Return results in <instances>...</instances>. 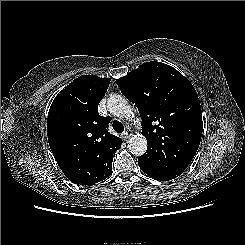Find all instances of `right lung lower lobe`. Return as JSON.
<instances>
[{"instance_id":"1","label":"right lung lower lobe","mask_w":245,"mask_h":245,"mask_svg":"<svg viewBox=\"0 0 245 245\" xmlns=\"http://www.w3.org/2000/svg\"><path fill=\"white\" fill-rule=\"evenodd\" d=\"M114 154V153H113ZM113 154L99 153L95 164L98 171L100 172L102 179L107 178L112 173V160ZM67 178H69L73 183L79 184V177L74 167H60Z\"/></svg>"}]
</instances>
